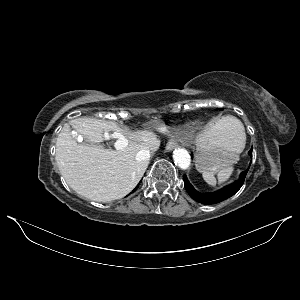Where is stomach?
I'll return each mask as SVG.
<instances>
[{"label":"stomach","instance_id":"0dacf381","mask_svg":"<svg viewBox=\"0 0 300 300\" xmlns=\"http://www.w3.org/2000/svg\"><path fill=\"white\" fill-rule=\"evenodd\" d=\"M219 125L217 122L211 128ZM222 128L223 132L220 134L206 136L204 140L198 139L195 164L200 172L216 173L229 167L238 160L244 149L236 135L225 127Z\"/></svg>","mask_w":300,"mask_h":300}]
</instances>
